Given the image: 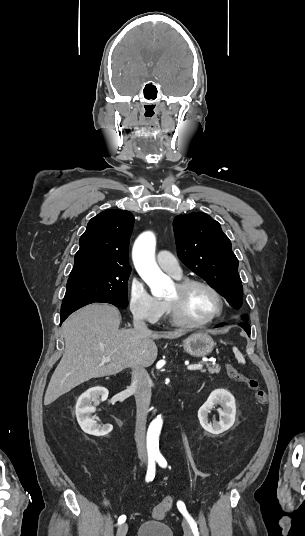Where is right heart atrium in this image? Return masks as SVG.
I'll list each match as a JSON object with an SVG mask.
<instances>
[{
  "label": "right heart atrium",
  "instance_id": "1",
  "mask_svg": "<svg viewBox=\"0 0 305 536\" xmlns=\"http://www.w3.org/2000/svg\"><path fill=\"white\" fill-rule=\"evenodd\" d=\"M128 307L136 319L151 323L156 322L165 310L164 303L154 298L145 286L135 279L128 285Z\"/></svg>",
  "mask_w": 305,
  "mask_h": 536
}]
</instances>
